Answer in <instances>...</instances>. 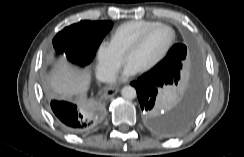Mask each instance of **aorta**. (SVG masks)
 I'll return each instance as SVG.
<instances>
[{
	"label": "aorta",
	"mask_w": 244,
	"mask_h": 157,
	"mask_svg": "<svg viewBox=\"0 0 244 157\" xmlns=\"http://www.w3.org/2000/svg\"><path fill=\"white\" fill-rule=\"evenodd\" d=\"M121 95L125 99H134L136 97V90L132 86H125L121 90Z\"/></svg>",
	"instance_id": "1"
}]
</instances>
